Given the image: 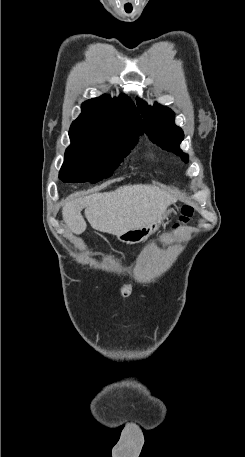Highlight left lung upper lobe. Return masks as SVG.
<instances>
[{
  "instance_id": "obj_1",
  "label": "left lung upper lobe",
  "mask_w": 245,
  "mask_h": 457,
  "mask_svg": "<svg viewBox=\"0 0 245 457\" xmlns=\"http://www.w3.org/2000/svg\"><path fill=\"white\" fill-rule=\"evenodd\" d=\"M137 105L144 117V129L149 138L161 148L181 156L182 160L187 162L188 156L179 149L184 134L174 124L172 110L157 103L150 107L140 99H137Z\"/></svg>"
}]
</instances>
